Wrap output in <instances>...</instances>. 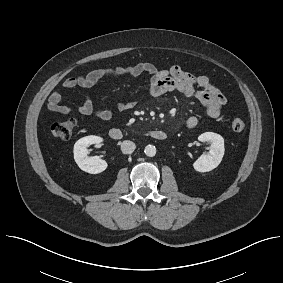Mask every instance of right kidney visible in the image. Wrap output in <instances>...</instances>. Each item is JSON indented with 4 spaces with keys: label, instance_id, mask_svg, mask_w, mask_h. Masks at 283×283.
<instances>
[{
    "label": "right kidney",
    "instance_id": "obj_1",
    "mask_svg": "<svg viewBox=\"0 0 283 283\" xmlns=\"http://www.w3.org/2000/svg\"><path fill=\"white\" fill-rule=\"evenodd\" d=\"M102 138L98 136H86L79 139L73 150L74 160L79 168L90 174H98L106 170L108 164L98 156L88 157V147L92 144H99Z\"/></svg>",
    "mask_w": 283,
    "mask_h": 283
}]
</instances>
